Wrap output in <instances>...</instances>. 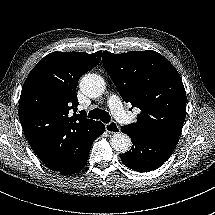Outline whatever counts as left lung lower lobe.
<instances>
[{"mask_svg":"<svg viewBox=\"0 0 215 215\" xmlns=\"http://www.w3.org/2000/svg\"><path fill=\"white\" fill-rule=\"evenodd\" d=\"M133 143L130 151L121 155L122 162L137 172H148L160 167L170 157L178 138H158L135 135L122 129Z\"/></svg>","mask_w":215,"mask_h":215,"instance_id":"obj_1","label":"left lung lower lobe"}]
</instances>
